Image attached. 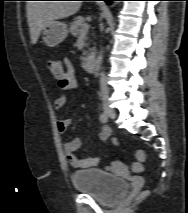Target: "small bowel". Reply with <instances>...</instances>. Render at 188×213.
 I'll return each mask as SVG.
<instances>
[{"instance_id":"small-bowel-1","label":"small bowel","mask_w":188,"mask_h":213,"mask_svg":"<svg viewBox=\"0 0 188 213\" xmlns=\"http://www.w3.org/2000/svg\"><path fill=\"white\" fill-rule=\"evenodd\" d=\"M66 69L62 72L60 77H56L58 81V86L63 91H69L78 86V79L75 76L73 66L69 61L65 63ZM67 104V97L62 95L58 97L54 102V109L59 111L62 110ZM72 120L71 119H63L57 121V129L60 133H65L69 128ZM110 128L107 125H102L99 132V137L101 139H107L110 136ZM80 139L73 138L67 141L64 144V150L66 153L67 160L70 165L76 169H87L93 168L100 164L101 157H91V158H79L75 156L74 152L80 147ZM114 143H116L114 141Z\"/></svg>"}]
</instances>
